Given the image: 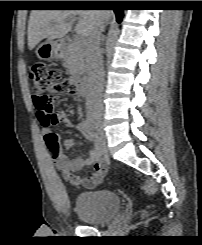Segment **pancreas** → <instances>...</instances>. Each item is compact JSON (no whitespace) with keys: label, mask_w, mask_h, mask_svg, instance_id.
<instances>
[{"label":"pancreas","mask_w":202,"mask_h":245,"mask_svg":"<svg viewBox=\"0 0 202 245\" xmlns=\"http://www.w3.org/2000/svg\"><path fill=\"white\" fill-rule=\"evenodd\" d=\"M63 66L74 77H79L85 72L83 45L69 44L62 56Z\"/></svg>","instance_id":"1"}]
</instances>
